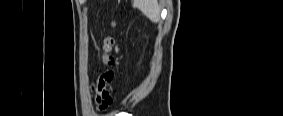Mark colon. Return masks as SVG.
Masks as SVG:
<instances>
[{"mask_svg": "<svg viewBox=\"0 0 283 116\" xmlns=\"http://www.w3.org/2000/svg\"><path fill=\"white\" fill-rule=\"evenodd\" d=\"M115 40L112 36H107L103 40V55H102V61L104 64L108 66H113L115 65V59L111 55V51L114 47ZM114 79V73L113 71H108L104 75L101 76L102 83L103 85L105 82L111 83V81ZM111 97L103 99L100 103H98V108L100 110H105L109 107L111 104Z\"/></svg>", "mask_w": 283, "mask_h": 116, "instance_id": "colon-1", "label": "colon"}]
</instances>
